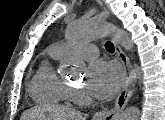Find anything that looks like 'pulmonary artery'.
Here are the masks:
<instances>
[{
  "label": "pulmonary artery",
  "mask_w": 165,
  "mask_h": 120,
  "mask_svg": "<svg viewBox=\"0 0 165 120\" xmlns=\"http://www.w3.org/2000/svg\"><path fill=\"white\" fill-rule=\"evenodd\" d=\"M55 47L63 53L69 50L68 45L65 42H60ZM76 51L85 57H95L98 55V49L93 44H80L76 47Z\"/></svg>",
  "instance_id": "pulmonary-artery-1"
}]
</instances>
